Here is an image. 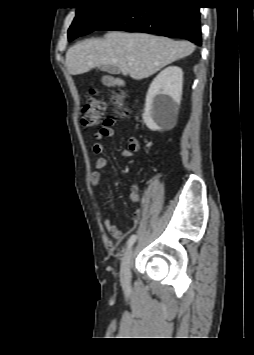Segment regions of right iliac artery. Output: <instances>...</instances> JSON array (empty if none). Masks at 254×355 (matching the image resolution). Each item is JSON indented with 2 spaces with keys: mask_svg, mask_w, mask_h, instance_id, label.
Wrapping results in <instances>:
<instances>
[{
  "mask_svg": "<svg viewBox=\"0 0 254 355\" xmlns=\"http://www.w3.org/2000/svg\"><path fill=\"white\" fill-rule=\"evenodd\" d=\"M137 236L135 234L131 235V237L129 238V240L127 241V248L126 251H128L131 246L134 244V242L136 241Z\"/></svg>",
  "mask_w": 254,
  "mask_h": 355,
  "instance_id": "82829eb1",
  "label": "right iliac artery"
}]
</instances>
